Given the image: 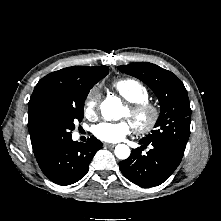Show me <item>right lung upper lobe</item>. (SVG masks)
<instances>
[{"mask_svg": "<svg viewBox=\"0 0 221 221\" xmlns=\"http://www.w3.org/2000/svg\"><path fill=\"white\" fill-rule=\"evenodd\" d=\"M108 72L107 66H73L52 72L37 83L28 103V128L34 154L47 145L41 133L46 112L76 88L101 80Z\"/></svg>", "mask_w": 221, "mask_h": 221, "instance_id": "right-lung-upper-lobe-1", "label": "right lung upper lobe"}]
</instances>
